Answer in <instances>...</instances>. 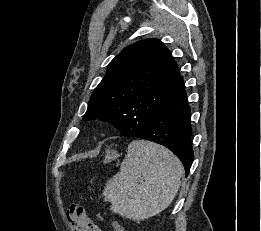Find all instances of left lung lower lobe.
Masks as SVG:
<instances>
[{"instance_id":"0a47b994","label":"left lung lower lobe","mask_w":261,"mask_h":231,"mask_svg":"<svg viewBox=\"0 0 261 231\" xmlns=\"http://www.w3.org/2000/svg\"><path fill=\"white\" fill-rule=\"evenodd\" d=\"M190 118L191 111L183 90L152 117L144 130L122 132L120 136L146 139L167 147L181 160L188 175L194 159Z\"/></svg>"}]
</instances>
